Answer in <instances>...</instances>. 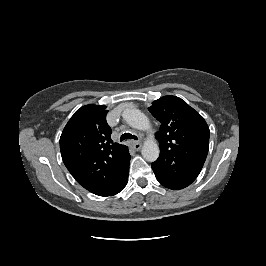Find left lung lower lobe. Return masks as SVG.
I'll return each instance as SVG.
<instances>
[{
    "mask_svg": "<svg viewBox=\"0 0 266 266\" xmlns=\"http://www.w3.org/2000/svg\"><path fill=\"white\" fill-rule=\"evenodd\" d=\"M155 176H156L158 182H159L161 185H163V186H165V187H167V188H169V189L178 190V189H182V188H185V187H187L188 185H190V184L179 183V182L172 181V180H170V179H166V178L160 176V175L157 174V173H155Z\"/></svg>",
    "mask_w": 266,
    "mask_h": 266,
    "instance_id": "0a47b994",
    "label": "left lung lower lobe"
}]
</instances>
